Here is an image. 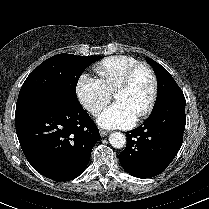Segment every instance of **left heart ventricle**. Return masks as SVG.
<instances>
[{
    "label": "left heart ventricle",
    "mask_w": 209,
    "mask_h": 209,
    "mask_svg": "<svg viewBox=\"0 0 209 209\" xmlns=\"http://www.w3.org/2000/svg\"><path fill=\"white\" fill-rule=\"evenodd\" d=\"M152 94V79L142 70L136 74L131 85L115 94L117 101H123L138 116L147 106Z\"/></svg>",
    "instance_id": "1"
}]
</instances>
